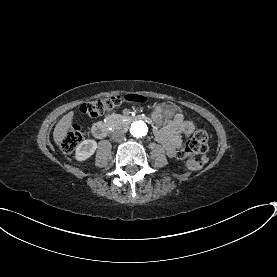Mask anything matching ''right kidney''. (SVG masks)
<instances>
[{
    "mask_svg": "<svg viewBox=\"0 0 277 277\" xmlns=\"http://www.w3.org/2000/svg\"><path fill=\"white\" fill-rule=\"evenodd\" d=\"M97 149V142L95 140H84L76 148L75 158L78 161H84L91 157Z\"/></svg>",
    "mask_w": 277,
    "mask_h": 277,
    "instance_id": "obj_1",
    "label": "right kidney"
}]
</instances>
